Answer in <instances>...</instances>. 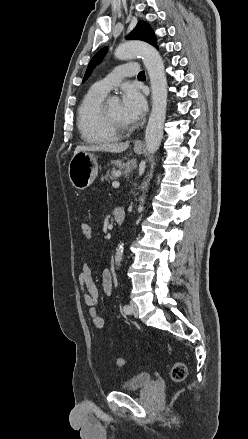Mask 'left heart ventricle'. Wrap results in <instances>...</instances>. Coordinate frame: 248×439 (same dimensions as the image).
<instances>
[{"instance_id": "left-heart-ventricle-1", "label": "left heart ventricle", "mask_w": 248, "mask_h": 439, "mask_svg": "<svg viewBox=\"0 0 248 439\" xmlns=\"http://www.w3.org/2000/svg\"><path fill=\"white\" fill-rule=\"evenodd\" d=\"M107 110L115 121L122 124H130L123 114L121 103L119 101L109 102L107 104Z\"/></svg>"}]
</instances>
